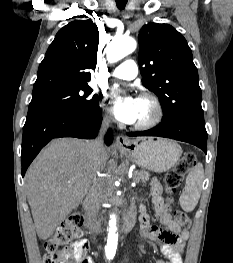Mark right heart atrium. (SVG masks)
Returning <instances> with one entry per match:
<instances>
[{"label":"right heart atrium","mask_w":233,"mask_h":263,"mask_svg":"<svg viewBox=\"0 0 233 263\" xmlns=\"http://www.w3.org/2000/svg\"><path fill=\"white\" fill-rule=\"evenodd\" d=\"M104 120H105L106 122H110V121H111L110 115H109V114H105V115H104Z\"/></svg>","instance_id":"1"}]
</instances>
